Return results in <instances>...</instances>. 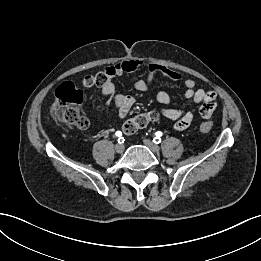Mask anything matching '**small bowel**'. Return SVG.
<instances>
[{
    "mask_svg": "<svg viewBox=\"0 0 261 261\" xmlns=\"http://www.w3.org/2000/svg\"><path fill=\"white\" fill-rule=\"evenodd\" d=\"M143 67V62L139 59H127L115 65L107 67L102 74L105 76V82L100 86L101 94L105 97L113 98L116 112L119 117H125L135 103V99L131 95L116 93L114 78L122 76L127 73H133ZM164 76L175 81H183L185 92L184 97L200 104L198 112L204 119H209L215 108L217 101V94L213 91H205L196 88V83L191 78L184 79L183 76L176 71L170 70L165 66L159 64H149L147 66V74L145 78L138 79L134 83L137 91H148L157 76ZM95 76L84 77L82 83L85 87H92L95 85ZM156 101L164 106L161 109L162 115L174 121L173 129L176 131L186 130L194 120V113L191 111H182L180 109L167 107L171 102L170 95L165 91H160L156 95Z\"/></svg>",
    "mask_w": 261,
    "mask_h": 261,
    "instance_id": "obj_1",
    "label": "small bowel"
}]
</instances>
